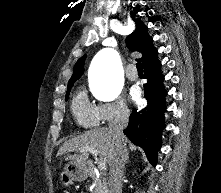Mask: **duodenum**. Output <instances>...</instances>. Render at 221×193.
Masks as SVG:
<instances>
[{"instance_id": "duodenum-1", "label": "duodenum", "mask_w": 221, "mask_h": 193, "mask_svg": "<svg viewBox=\"0 0 221 193\" xmlns=\"http://www.w3.org/2000/svg\"><path fill=\"white\" fill-rule=\"evenodd\" d=\"M96 174H97V171L95 170V168L92 165L88 166V175L95 176Z\"/></svg>"}]
</instances>
